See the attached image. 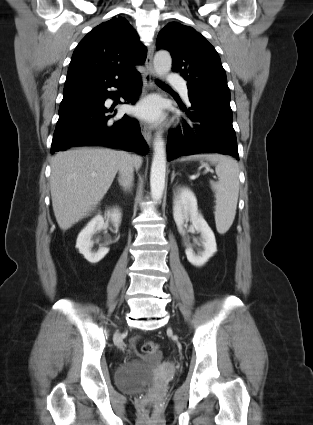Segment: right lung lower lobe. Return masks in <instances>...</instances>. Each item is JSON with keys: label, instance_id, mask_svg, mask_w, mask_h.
Instances as JSON below:
<instances>
[{"label": "right lung lower lobe", "instance_id": "1", "mask_svg": "<svg viewBox=\"0 0 313 425\" xmlns=\"http://www.w3.org/2000/svg\"><path fill=\"white\" fill-rule=\"evenodd\" d=\"M140 73L126 78L108 77L66 82L59 119L53 135L51 152L74 146H105L144 155L148 151L135 119L128 116L112 120L111 109L104 106L107 98H115L109 87L128 88L123 98L134 104L140 92ZM127 102V103H128Z\"/></svg>", "mask_w": 313, "mask_h": 425}]
</instances>
